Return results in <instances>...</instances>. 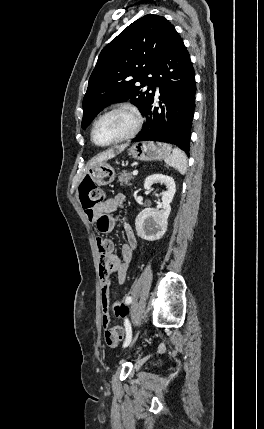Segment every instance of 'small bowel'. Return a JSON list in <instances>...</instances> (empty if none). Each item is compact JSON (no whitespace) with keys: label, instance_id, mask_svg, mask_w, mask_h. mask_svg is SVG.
Wrapping results in <instances>:
<instances>
[{"label":"small bowel","instance_id":"1","mask_svg":"<svg viewBox=\"0 0 264 429\" xmlns=\"http://www.w3.org/2000/svg\"><path fill=\"white\" fill-rule=\"evenodd\" d=\"M124 196L119 194L108 198L95 207L92 213H86L90 223H95L100 232H110L116 225L114 213L119 209ZM126 242L121 246V258L114 254V245L111 240L97 238L96 245L99 253V277L101 283L102 327L104 339L109 347L115 348L124 338V329L121 326H111L109 312V286L110 277L115 274L119 284L126 280L127 270L133 257V252L138 246L137 236L129 223H124ZM122 333V336L118 334Z\"/></svg>","mask_w":264,"mask_h":429}]
</instances>
